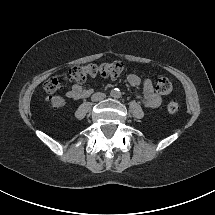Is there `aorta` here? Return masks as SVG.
<instances>
[{
  "label": "aorta",
  "instance_id": "1",
  "mask_svg": "<svg viewBox=\"0 0 215 215\" xmlns=\"http://www.w3.org/2000/svg\"><path fill=\"white\" fill-rule=\"evenodd\" d=\"M111 95L114 97H119L121 95V92L117 89H114L111 91Z\"/></svg>",
  "mask_w": 215,
  "mask_h": 215
}]
</instances>
